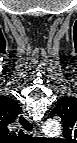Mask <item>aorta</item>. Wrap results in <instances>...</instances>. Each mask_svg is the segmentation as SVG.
I'll use <instances>...</instances> for the list:
<instances>
[{
  "mask_svg": "<svg viewBox=\"0 0 77 143\" xmlns=\"http://www.w3.org/2000/svg\"><path fill=\"white\" fill-rule=\"evenodd\" d=\"M43 131L48 135H58L61 132V125L59 122L47 121L43 124Z\"/></svg>",
  "mask_w": 77,
  "mask_h": 143,
  "instance_id": "762f6f07",
  "label": "aorta"
}]
</instances>
